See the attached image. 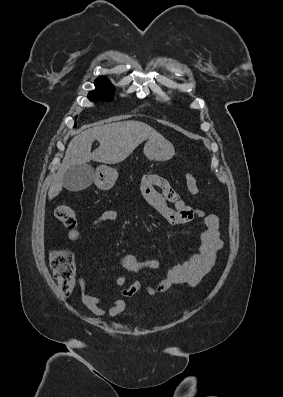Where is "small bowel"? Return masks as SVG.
Returning <instances> with one entry per match:
<instances>
[{"label": "small bowel", "instance_id": "1", "mask_svg": "<svg viewBox=\"0 0 283 397\" xmlns=\"http://www.w3.org/2000/svg\"><path fill=\"white\" fill-rule=\"evenodd\" d=\"M142 193L149 206L169 225H182L199 219L204 224V231L201 234L200 246L191 257L182 264L172 265L168 268L165 277L155 286L142 284L135 280L128 284L127 276H118L115 284L122 289L124 297H130L143 289L149 296H154L172 287L173 285H185L193 287L198 284L203 277L213 269L218 254L223 248V241L220 238V221L218 216L208 213L201 207H191L186 204L179 195L172 189L164 178L157 175H146L141 183ZM173 205L171 207L170 205ZM118 217L115 210L108 209L103 211L92 222L93 227H98L106 222L114 221ZM68 239L78 241L81 233L77 229L68 232ZM127 273H137L142 269H156L160 266L157 259L140 262L132 254H127L119 261ZM81 288V300L83 304L95 315L103 316L107 314L115 318L126 309V303L121 298L106 299L90 294L84 276H79ZM109 308L106 311L103 306Z\"/></svg>", "mask_w": 283, "mask_h": 397}]
</instances>
